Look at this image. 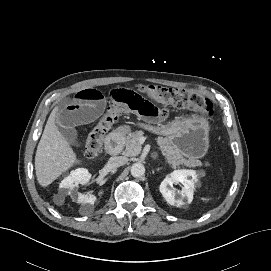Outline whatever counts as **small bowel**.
<instances>
[{"mask_svg":"<svg viewBox=\"0 0 271 271\" xmlns=\"http://www.w3.org/2000/svg\"><path fill=\"white\" fill-rule=\"evenodd\" d=\"M119 105L123 112L138 117L148 123L163 122L168 111L158 105V101L140 91L113 88L108 99L97 89L88 88L78 91L74 97L54 115L47 124L50 133L58 132L71 144L77 143V127L92 123L106 110L107 102Z\"/></svg>","mask_w":271,"mask_h":271,"instance_id":"1","label":"small bowel"}]
</instances>
